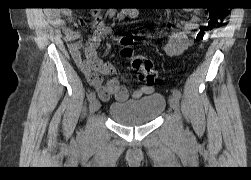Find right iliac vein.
Wrapping results in <instances>:
<instances>
[{
    "label": "right iliac vein",
    "instance_id": "obj_1",
    "mask_svg": "<svg viewBox=\"0 0 251 180\" xmlns=\"http://www.w3.org/2000/svg\"><path fill=\"white\" fill-rule=\"evenodd\" d=\"M100 108V102L97 99H94L89 106L90 109V113H95L96 111H98Z\"/></svg>",
    "mask_w": 251,
    "mask_h": 180
}]
</instances>
